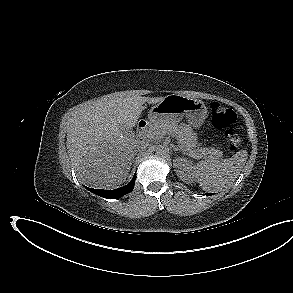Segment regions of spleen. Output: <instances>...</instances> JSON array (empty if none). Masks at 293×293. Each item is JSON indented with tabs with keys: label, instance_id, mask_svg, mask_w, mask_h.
<instances>
[{
	"label": "spleen",
	"instance_id": "3e777b00",
	"mask_svg": "<svg viewBox=\"0 0 293 293\" xmlns=\"http://www.w3.org/2000/svg\"><path fill=\"white\" fill-rule=\"evenodd\" d=\"M247 156V151L241 150L228 159L201 161L194 167L193 176L204 191H221L231 186L239 176Z\"/></svg>",
	"mask_w": 293,
	"mask_h": 293
}]
</instances>
